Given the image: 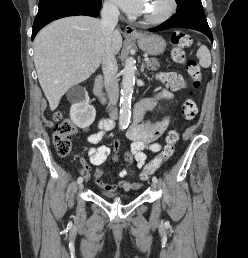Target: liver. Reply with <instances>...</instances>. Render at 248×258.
Listing matches in <instances>:
<instances>
[{"instance_id": "1", "label": "liver", "mask_w": 248, "mask_h": 258, "mask_svg": "<svg viewBox=\"0 0 248 258\" xmlns=\"http://www.w3.org/2000/svg\"><path fill=\"white\" fill-rule=\"evenodd\" d=\"M104 47L101 21L87 16L56 20L35 38L34 64L40 86L54 111L62 96L88 79L99 67ZM117 54L122 47L119 31L112 34Z\"/></svg>"}]
</instances>
